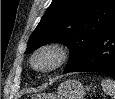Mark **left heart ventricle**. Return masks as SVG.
I'll return each instance as SVG.
<instances>
[{"label": "left heart ventricle", "instance_id": "1", "mask_svg": "<svg viewBox=\"0 0 115 99\" xmlns=\"http://www.w3.org/2000/svg\"><path fill=\"white\" fill-rule=\"evenodd\" d=\"M53 57L50 54H43L39 56L36 60V65L40 68H45L52 64Z\"/></svg>", "mask_w": 115, "mask_h": 99}]
</instances>
